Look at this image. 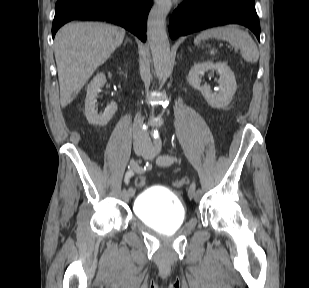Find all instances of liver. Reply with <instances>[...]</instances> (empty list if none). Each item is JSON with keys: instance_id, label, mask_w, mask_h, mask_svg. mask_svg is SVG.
Listing matches in <instances>:
<instances>
[{"instance_id": "obj_1", "label": "liver", "mask_w": 309, "mask_h": 288, "mask_svg": "<svg viewBox=\"0 0 309 288\" xmlns=\"http://www.w3.org/2000/svg\"><path fill=\"white\" fill-rule=\"evenodd\" d=\"M124 37V29L97 22L69 23L58 32L54 52L62 107L73 101Z\"/></svg>"}]
</instances>
